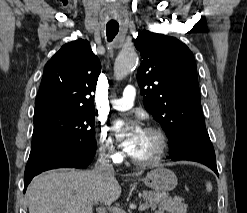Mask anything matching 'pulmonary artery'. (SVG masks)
Listing matches in <instances>:
<instances>
[{"label":"pulmonary artery","mask_w":247,"mask_h":213,"mask_svg":"<svg viewBox=\"0 0 247 213\" xmlns=\"http://www.w3.org/2000/svg\"><path fill=\"white\" fill-rule=\"evenodd\" d=\"M136 96V88L133 85H128L123 91V96L112 100L111 105L114 109L125 111L130 109L134 104Z\"/></svg>","instance_id":"pulmonary-artery-1"}]
</instances>
